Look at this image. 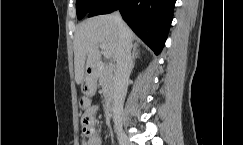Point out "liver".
Segmentation results:
<instances>
[{"mask_svg":"<svg viewBox=\"0 0 243 145\" xmlns=\"http://www.w3.org/2000/svg\"><path fill=\"white\" fill-rule=\"evenodd\" d=\"M127 31L132 42L134 34L128 27ZM100 43L105 44L116 60L121 40L114 14L96 16L78 25L74 39L75 81L78 85L83 82L88 68L95 69L98 66L101 57Z\"/></svg>","mask_w":243,"mask_h":145,"instance_id":"1","label":"liver"}]
</instances>
